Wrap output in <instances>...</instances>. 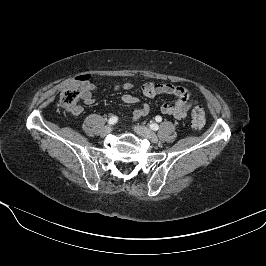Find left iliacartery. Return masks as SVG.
Segmentation results:
<instances>
[{
    "label": "left iliac artery",
    "instance_id": "44dca946",
    "mask_svg": "<svg viewBox=\"0 0 266 266\" xmlns=\"http://www.w3.org/2000/svg\"><path fill=\"white\" fill-rule=\"evenodd\" d=\"M155 120H156L157 122H161L162 118H161V116H156ZM150 128H151L152 130H154V131H157V130L159 129V125L156 124V123H153V124L150 125Z\"/></svg>",
    "mask_w": 266,
    "mask_h": 266
}]
</instances>
